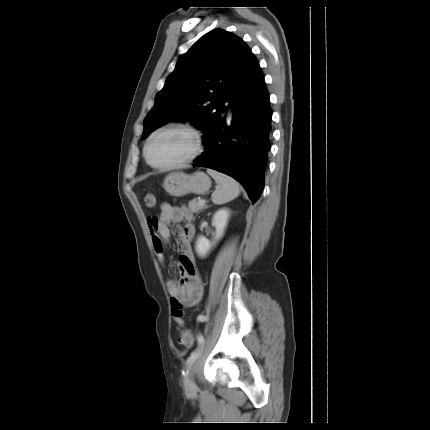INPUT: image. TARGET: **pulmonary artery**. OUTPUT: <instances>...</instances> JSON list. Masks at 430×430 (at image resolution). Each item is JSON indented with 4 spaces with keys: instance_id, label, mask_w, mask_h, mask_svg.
<instances>
[{
    "instance_id": "obj_1",
    "label": "pulmonary artery",
    "mask_w": 430,
    "mask_h": 430,
    "mask_svg": "<svg viewBox=\"0 0 430 430\" xmlns=\"http://www.w3.org/2000/svg\"><path fill=\"white\" fill-rule=\"evenodd\" d=\"M230 110H231V109H230V108H228V112H230Z\"/></svg>"
}]
</instances>
